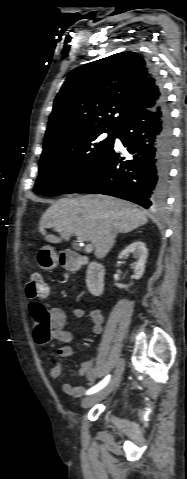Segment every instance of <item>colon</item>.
Masks as SVG:
<instances>
[{"label":"colon","mask_w":187,"mask_h":479,"mask_svg":"<svg viewBox=\"0 0 187 479\" xmlns=\"http://www.w3.org/2000/svg\"><path fill=\"white\" fill-rule=\"evenodd\" d=\"M27 295L31 299H42L48 295V286L44 281L43 274L40 271L31 273L26 287ZM30 313L34 320L36 330L42 337L49 334L51 326V315L45 306L39 302L30 305Z\"/></svg>","instance_id":"colon-1"}]
</instances>
